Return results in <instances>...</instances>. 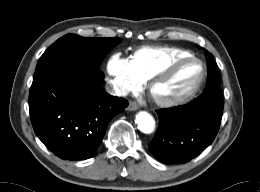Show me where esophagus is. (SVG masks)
<instances>
[{
  "label": "esophagus",
  "mask_w": 260,
  "mask_h": 192,
  "mask_svg": "<svg viewBox=\"0 0 260 192\" xmlns=\"http://www.w3.org/2000/svg\"><path fill=\"white\" fill-rule=\"evenodd\" d=\"M128 109L130 111H135V110L139 109V106H138V104L135 101H131L129 103Z\"/></svg>",
  "instance_id": "34e87169"
}]
</instances>
